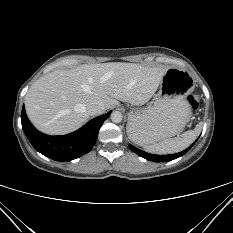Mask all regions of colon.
Masks as SVG:
<instances>
[{
	"label": "colon",
	"instance_id": "obj_1",
	"mask_svg": "<svg viewBox=\"0 0 233 233\" xmlns=\"http://www.w3.org/2000/svg\"><path fill=\"white\" fill-rule=\"evenodd\" d=\"M199 96L198 95H192L188 98V102L193 110H197L199 107Z\"/></svg>",
	"mask_w": 233,
	"mask_h": 233
}]
</instances>
